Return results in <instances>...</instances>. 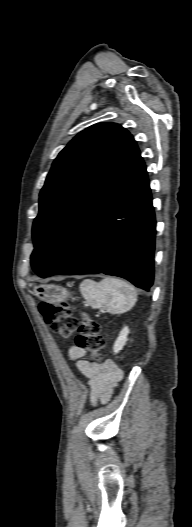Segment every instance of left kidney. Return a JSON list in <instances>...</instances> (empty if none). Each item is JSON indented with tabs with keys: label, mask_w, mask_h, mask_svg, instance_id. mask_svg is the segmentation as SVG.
I'll return each mask as SVG.
<instances>
[{
	"label": "left kidney",
	"mask_w": 192,
	"mask_h": 527,
	"mask_svg": "<svg viewBox=\"0 0 192 527\" xmlns=\"http://www.w3.org/2000/svg\"><path fill=\"white\" fill-rule=\"evenodd\" d=\"M129 334V329L128 327H124L121 331H120V334L117 338V340L115 341L114 343V346H113V350L115 353H118L120 350L123 349V347L125 346L126 342H127V336Z\"/></svg>",
	"instance_id": "1"
}]
</instances>
